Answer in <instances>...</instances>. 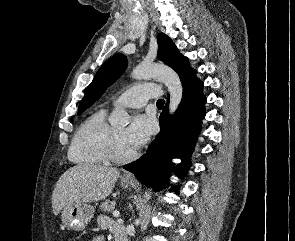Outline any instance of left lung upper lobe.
<instances>
[{
  "label": "left lung upper lobe",
  "instance_id": "1",
  "mask_svg": "<svg viewBox=\"0 0 295 241\" xmlns=\"http://www.w3.org/2000/svg\"><path fill=\"white\" fill-rule=\"evenodd\" d=\"M157 38L159 60L175 70L183 84L187 78L195 74V71L190 67L188 59L181 55L175 44L167 35L160 33ZM126 67L127 59L123 54L118 53L107 60L98 70L91 84L87 87L85 95L79 104L78 113H82L98 100L107 87L112 85L120 77Z\"/></svg>",
  "mask_w": 295,
  "mask_h": 241
}]
</instances>
